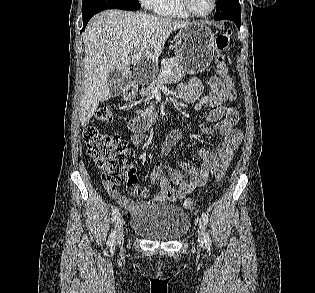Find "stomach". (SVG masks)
Masks as SVG:
<instances>
[{"instance_id":"0dacf381","label":"stomach","mask_w":315,"mask_h":293,"mask_svg":"<svg viewBox=\"0 0 315 293\" xmlns=\"http://www.w3.org/2000/svg\"><path fill=\"white\" fill-rule=\"evenodd\" d=\"M214 33L204 23L194 22L182 28L175 42L177 56L181 57L183 69L188 74L204 71L214 57ZM131 101L129 96L124 98Z\"/></svg>"}]
</instances>
